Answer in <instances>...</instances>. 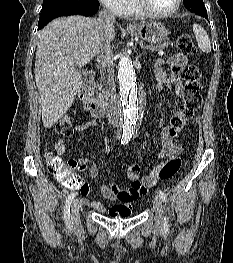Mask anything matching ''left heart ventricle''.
I'll list each match as a JSON object with an SVG mask.
<instances>
[{
  "mask_svg": "<svg viewBox=\"0 0 233 263\" xmlns=\"http://www.w3.org/2000/svg\"><path fill=\"white\" fill-rule=\"evenodd\" d=\"M146 5L154 12L165 13L170 11L176 0H144Z\"/></svg>",
  "mask_w": 233,
  "mask_h": 263,
  "instance_id": "b2bd125f",
  "label": "left heart ventricle"
}]
</instances>
